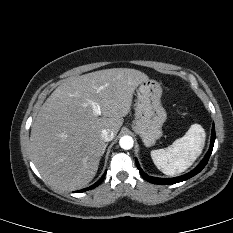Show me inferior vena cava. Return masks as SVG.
I'll return each mask as SVG.
<instances>
[{"label":"inferior vena cava","mask_w":233,"mask_h":233,"mask_svg":"<svg viewBox=\"0 0 233 233\" xmlns=\"http://www.w3.org/2000/svg\"><path fill=\"white\" fill-rule=\"evenodd\" d=\"M101 138L105 141V142H109L114 138V134L110 129H103L101 131Z\"/></svg>","instance_id":"obj_1"}]
</instances>
